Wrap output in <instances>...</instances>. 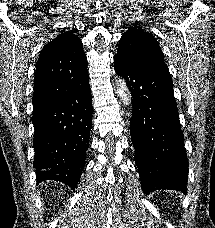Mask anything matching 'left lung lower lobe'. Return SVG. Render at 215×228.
Here are the masks:
<instances>
[{"instance_id":"1","label":"left lung lower lobe","mask_w":215,"mask_h":228,"mask_svg":"<svg viewBox=\"0 0 215 228\" xmlns=\"http://www.w3.org/2000/svg\"><path fill=\"white\" fill-rule=\"evenodd\" d=\"M114 65L132 96L130 133L142 190L186 194L188 158L167 65L141 67L116 55Z\"/></svg>"}]
</instances>
